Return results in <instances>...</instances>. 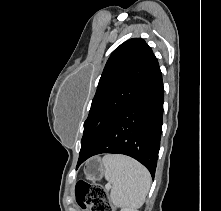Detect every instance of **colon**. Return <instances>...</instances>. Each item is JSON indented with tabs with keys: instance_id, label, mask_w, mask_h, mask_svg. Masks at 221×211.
Masks as SVG:
<instances>
[{
	"instance_id": "obj_1",
	"label": "colon",
	"mask_w": 221,
	"mask_h": 211,
	"mask_svg": "<svg viewBox=\"0 0 221 211\" xmlns=\"http://www.w3.org/2000/svg\"><path fill=\"white\" fill-rule=\"evenodd\" d=\"M78 205L87 211H113L109 195L103 186L78 181L75 186Z\"/></svg>"
}]
</instances>
